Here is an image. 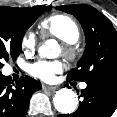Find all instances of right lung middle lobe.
<instances>
[{"label":"right lung middle lobe","mask_w":117,"mask_h":117,"mask_svg":"<svg viewBox=\"0 0 117 117\" xmlns=\"http://www.w3.org/2000/svg\"><path fill=\"white\" fill-rule=\"evenodd\" d=\"M46 9L43 5L30 8L0 6V68L3 61L19 56L26 30Z\"/></svg>","instance_id":"obj_1"}]
</instances>
